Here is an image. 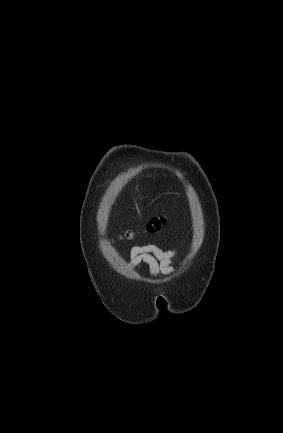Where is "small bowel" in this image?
<instances>
[{"instance_id":"1","label":"small bowel","mask_w":283,"mask_h":433,"mask_svg":"<svg viewBox=\"0 0 283 433\" xmlns=\"http://www.w3.org/2000/svg\"><path fill=\"white\" fill-rule=\"evenodd\" d=\"M177 253L178 247L164 250L153 244L134 246L129 252L130 266L134 268L141 263L146 264L152 278L160 273L172 274L175 272L173 263Z\"/></svg>"}]
</instances>
